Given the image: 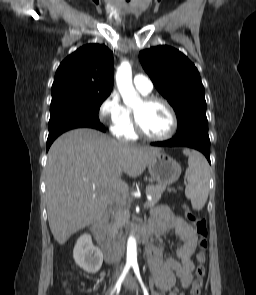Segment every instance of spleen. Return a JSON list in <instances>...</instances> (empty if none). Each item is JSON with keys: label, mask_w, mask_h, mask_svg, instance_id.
Wrapping results in <instances>:
<instances>
[{"label": "spleen", "mask_w": 256, "mask_h": 295, "mask_svg": "<svg viewBox=\"0 0 256 295\" xmlns=\"http://www.w3.org/2000/svg\"><path fill=\"white\" fill-rule=\"evenodd\" d=\"M183 153L188 156V169L186 178L188 184L185 195L191 201L193 209L201 210L208 198L210 167L205 157L197 152L184 149Z\"/></svg>", "instance_id": "3e777b00"}]
</instances>
